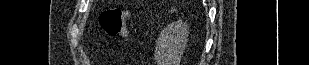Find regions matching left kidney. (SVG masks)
I'll list each match as a JSON object with an SVG mask.
<instances>
[{
    "mask_svg": "<svg viewBox=\"0 0 309 65\" xmlns=\"http://www.w3.org/2000/svg\"><path fill=\"white\" fill-rule=\"evenodd\" d=\"M187 29V24L178 20L161 31L155 47L156 65H180L187 45Z\"/></svg>",
    "mask_w": 309,
    "mask_h": 65,
    "instance_id": "left-kidney-1",
    "label": "left kidney"
}]
</instances>
